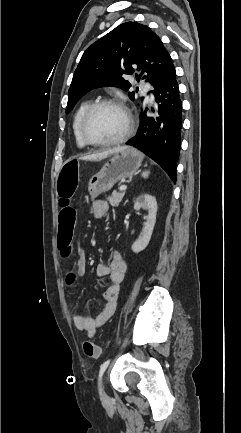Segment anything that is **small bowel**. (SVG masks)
Wrapping results in <instances>:
<instances>
[{
	"label": "small bowel",
	"instance_id": "small-bowel-1",
	"mask_svg": "<svg viewBox=\"0 0 241 433\" xmlns=\"http://www.w3.org/2000/svg\"><path fill=\"white\" fill-rule=\"evenodd\" d=\"M92 212L96 218H102L108 214L109 205L104 200L97 199L92 203ZM85 270L86 255L82 249H79L77 260V273L79 275H84ZM126 270L127 264L118 252H114L112 254L109 264L100 263L97 265V276L109 278V284L104 291L102 297L103 306L95 316H83L80 314H73V323L75 327L80 331H85L88 337H93L97 330L101 326H103L114 314L117 306L120 286L123 282Z\"/></svg>",
	"mask_w": 241,
	"mask_h": 433
}]
</instances>
